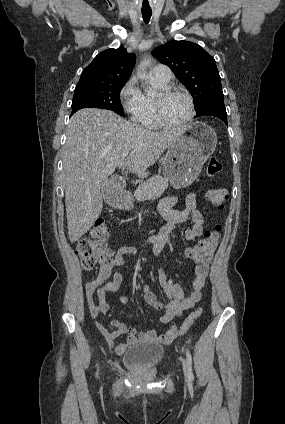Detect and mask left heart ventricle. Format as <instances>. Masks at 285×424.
<instances>
[{"label": "left heart ventricle", "instance_id": "1", "mask_svg": "<svg viewBox=\"0 0 285 424\" xmlns=\"http://www.w3.org/2000/svg\"><path fill=\"white\" fill-rule=\"evenodd\" d=\"M163 111L166 119L170 123L180 124L188 117L190 107L185 97L174 95L164 101Z\"/></svg>", "mask_w": 285, "mask_h": 424}]
</instances>
